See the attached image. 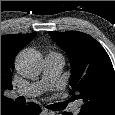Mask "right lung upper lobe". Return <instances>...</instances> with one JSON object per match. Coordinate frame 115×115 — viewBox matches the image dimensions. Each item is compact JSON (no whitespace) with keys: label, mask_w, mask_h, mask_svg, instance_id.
<instances>
[{"label":"right lung upper lobe","mask_w":115,"mask_h":115,"mask_svg":"<svg viewBox=\"0 0 115 115\" xmlns=\"http://www.w3.org/2000/svg\"><path fill=\"white\" fill-rule=\"evenodd\" d=\"M36 33L29 34H12L1 36V109L14 103L3 95L4 90H11L12 73L14 70V59L17 53L33 38Z\"/></svg>","instance_id":"obj_1"}]
</instances>
